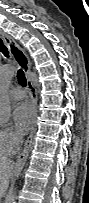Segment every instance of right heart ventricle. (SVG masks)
Masks as SVG:
<instances>
[{
  "instance_id": "e07e8e85",
  "label": "right heart ventricle",
  "mask_w": 89,
  "mask_h": 203,
  "mask_svg": "<svg viewBox=\"0 0 89 203\" xmlns=\"http://www.w3.org/2000/svg\"><path fill=\"white\" fill-rule=\"evenodd\" d=\"M13 153L14 151L7 148L0 137V159L10 157Z\"/></svg>"
}]
</instances>
